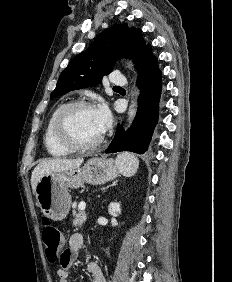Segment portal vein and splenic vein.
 Wrapping results in <instances>:
<instances>
[{
	"instance_id": "portal-vein-and-splenic-vein-1",
	"label": "portal vein and splenic vein",
	"mask_w": 232,
	"mask_h": 282,
	"mask_svg": "<svg viewBox=\"0 0 232 282\" xmlns=\"http://www.w3.org/2000/svg\"><path fill=\"white\" fill-rule=\"evenodd\" d=\"M78 207H79L80 210H85L86 203L85 202H80Z\"/></svg>"
}]
</instances>
